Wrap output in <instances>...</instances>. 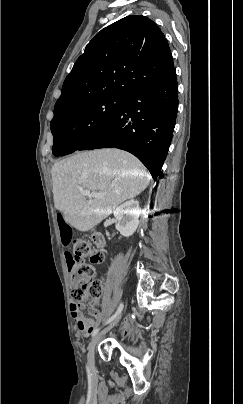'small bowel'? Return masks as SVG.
Listing matches in <instances>:
<instances>
[{"label": "small bowel", "mask_w": 243, "mask_h": 404, "mask_svg": "<svg viewBox=\"0 0 243 404\" xmlns=\"http://www.w3.org/2000/svg\"><path fill=\"white\" fill-rule=\"evenodd\" d=\"M59 227L61 232L62 243L67 245L71 240V229L70 227L64 223L62 219L59 220ZM65 259L67 261L69 269H72V259L73 255L69 252L65 253ZM85 307V303L82 301L73 302L71 304V314L73 319L75 320L77 328L83 333V335L88 336L91 332H93L100 322L101 314L98 312L94 313V319L86 318L83 314V309ZM130 327V323L127 321L124 323V328L127 329Z\"/></svg>", "instance_id": "obj_1"}]
</instances>
